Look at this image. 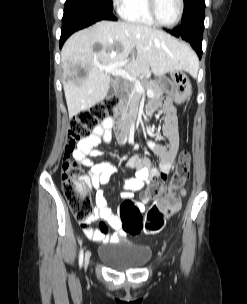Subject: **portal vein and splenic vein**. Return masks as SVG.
<instances>
[{
    "label": "portal vein and splenic vein",
    "mask_w": 247,
    "mask_h": 304,
    "mask_svg": "<svg viewBox=\"0 0 247 304\" xmlns=\"http://www.w3.org/2000/svg\"><path fill=\"white\" fill-rule=\"evenodd\" d=\"M127 62H128V60L119 61V62L110 64L107 66H100V68L112 75L121 76V77L133 82L135 91L141 95L145 92V90H144L143 86L141 85L140 81L137 80L135 77L131 76L126 70L122 69V67ZM147 96L154 97V92L152 90H147Z\"/></svg>",
    "instance_id": "portal-vein-and-splenic-vein-1"
}]
</instances>
